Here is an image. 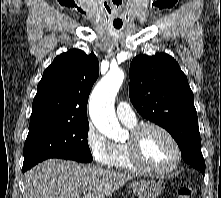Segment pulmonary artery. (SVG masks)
Wrapping results in <instances>:
<instances>
[{
    "mask_svg": "<svg viewBox=\"0 0 221 198\" xmlns=\"http://www.w3.org/2000/svg\"><path fill=\"white\" fill-rule=\"evenodd\" d=\"M116 113H117L119 120L122 123L124 124L136 123V114L127 102L125 101L119 102L116 108Z\"/></svg>",
    "mask_w": 221,
    "mask_h": 198,
    "instance_id": "1",
    "label": "pulmonary artery"
}]
</instances>
